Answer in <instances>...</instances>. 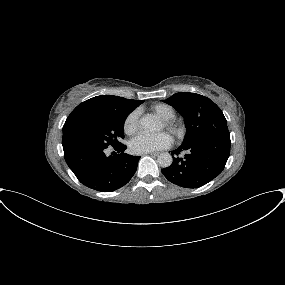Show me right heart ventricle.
I'll list each match as a JSON object with an SVG mask.
<instances>
[{
  "label": "right heart ventricle",
  "mask_w": 285,
  "mask_h": 285,
  "mask_svg": "<svg viewBox=\"0 0 285 285\" xmlns=\"http://www.w3.org/2000/svg\"><path fill=\"white\" fill-rule=\"evenodd\" d=\"M151 111L156 114L161 120L172 119L176 115L175 109L164 103H158L151 106Z\"/></svg>",
  "instance_id": "1"
}]
</instances>
